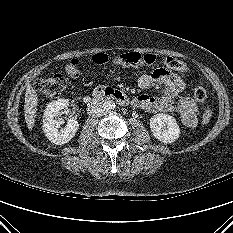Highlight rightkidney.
<instances>
[{
  "instance_id": "ca27d5eb",
  "label": "right kidney",
  "mask_w": 233,
  "mask_h": 233,
  "mask_svg": "<svg viewBox=\"0 0 233 233\" xmlns=\"http://www.w3.org/2000/svg\"><path fill=\"white\" fill-rule=\"evenodd\" d=\"M68 106V99H58L50 102L44 111L43 131L48 140L57 145L68 143L79 129V123L76 119H69L66 128L59 129L63 120L56 117L60 110Z\"/></svg>"
}]
</instances>
